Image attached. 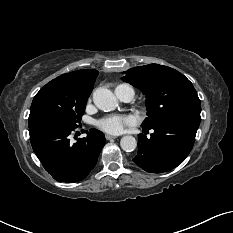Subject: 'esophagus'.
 <instances>
[{"instance_id": "obj_1", "label": "esophagus", "mask_w": 233, "mask_h": 233, "mask_svg": "<svg viewBox=\"0 0 233 233\" xmlns=\"http://www.w3.org/2000/svg\"><path fill=\"white\" fill-rule=\"evenodd\" d=\"M105 137H106L107 140H112V139L117 138L116 136H112V135H109V134H106Z\"/></svg>"}]
</instances>
